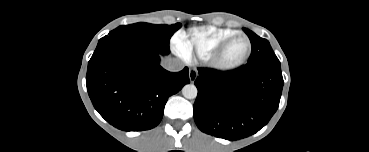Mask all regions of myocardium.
<instances>
[{"label":"myocardium","mask_w":369,"mask_h":152,"mask_svg":"<svg viewBox=\"0 0 369 152\" xmlns=\"http://www.w3.org/2000/svg\"><path fill=\"white\" fill-rule=\"evenodd\" d=\"M239 38H243L247 41L248 43V48H247V52L244 55V57L242 59H240L237 62L234 63H224L222 58L223 55L225 53V51L227 50V48L230 46V44L232 42H234L236 39ZM252 53V42L250 40V38L242 33H237L234 34L230 37H228L227 39H225L224 41H222L212 52L211 54L207 57L206 62L208 63V65L218 71L221 72H230V71H234L240 67H242L244 64H246V62L248 61L250 55Z\"/></svg>","instance_id":"myocardium-1"}]
</instances>
